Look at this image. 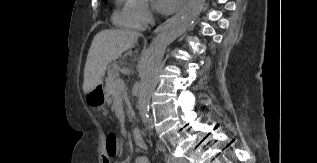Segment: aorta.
Wrapping results in <instances>:
<instances>
[{"mask_svg": "<svg viewBox=\"0 0 317 163\" xmlns=\"http://www.w3.org/2000/svg\"><path fill=\"white\" fill-rule=\"evenodd\" d=\"M206 0H190L185 12L170 20L153 39L139 71L138 109L142 122H149V104L156 84L157 73L167 46L185 33L200 15Z\"/></svg>", "mask_w": 317, "mask_h": 163, "instance_id": "762f6f07", "label": "aorta"}]
</instances>
